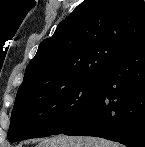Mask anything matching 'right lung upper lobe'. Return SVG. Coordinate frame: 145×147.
<instances>
[{
  "label": "right lung upper lobe",
  "mask_w": 145,
  "mask_h": 147,
  "mask_svg": "<svg viewBox=\"0 0 145 147\" xmlns=\"http://www.w3.org/2000/svg\"><path fill=\"white\" fill-rule=\"evenodd\" d=\"M145 37L143 0H84L43 40L28 64L17 95L53 91L102 73Z\"/></svg>",
  "instance_id": "1"
}]
</instances>
